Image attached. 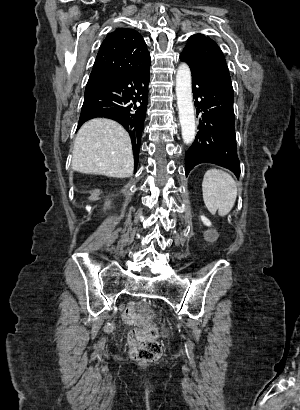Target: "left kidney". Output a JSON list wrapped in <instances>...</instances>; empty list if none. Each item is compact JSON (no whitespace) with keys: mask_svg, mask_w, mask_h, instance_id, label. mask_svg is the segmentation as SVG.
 Returning <instances> with one entry per match:
<instances>
[{"mask_svg":"<svg viewBox=\"0 0 300 410\" xmlns=\"http://www.w3.org/2000/svg\"><path fill=\"white\" fill-rule=\"evenodd\" d=\"M201 220H202V222L204 223V225H206V226H211V222H210V220H209L207 217L201 216Z\"/></svg>","mask_w":300,"mask_h":410,"instance_id":"1","label":"left kidney"}]
</instances>
